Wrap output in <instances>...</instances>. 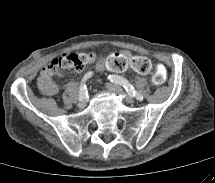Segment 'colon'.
I'll list each match as a JSON object with an SVG mask.
<instances>
[{"mask_svg":"<svg viewBox=\"0 0 215 183\" xmlns=\"http://www.w3.org/2000/svg\"><path fill=\"white\" fill-rule=\"evenodd\" d=\"M119 53V52H117ZM120 54V53H119ZM92 60L91 54L85 51L66 53L56 58L52 62L54 71H60L63 69H77L80 70L88 65ZM131 58L129 59L130 62ZM169 68L164 63H157L152 68V82L155 85H161L169 79Z\"/></svg>","mask_w":215,"mask_h":183,"instance_id":"colon-1","label":"colon"}]
</instances>
